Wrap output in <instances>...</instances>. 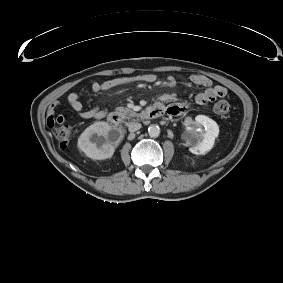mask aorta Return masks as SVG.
<instances>
[{"label": "aorta", "instance_id": "aorta-1", "mask_svg": "<svg viewBox=\"0 0 283 283\" xmlns=\"http://www.w3.org/2000/svg\"><path fill=\"white\" fill-rule=\"evenodd\" d=\"M148 134L152 138H156L160 135V127L156 124H151L148 128Z\"/></svg>", "mask_w": 283, "mask_h": 283}]
</instances>
